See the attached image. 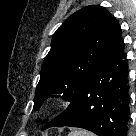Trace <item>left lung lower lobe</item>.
I'll return each instance as SVG.
<instances>
[{
	"instance_id": "1",
	"label": "left lung lower lobe",
	"mask_w": 136,
	"mask_h": 136,
	"mask_svg": "<svg viewBox=\"0 0 136 136\" xmlns=\"http://www.w3.org/2000/svg\"><path fill=\"white\" fill-rule=\"evenodd\" d=\"M123 45L118 33L103 63L83 84L68 108L43 130L69 126L98 136H125L129 106Z\"/></svg>"
}]
</instances>
